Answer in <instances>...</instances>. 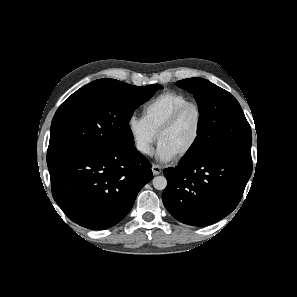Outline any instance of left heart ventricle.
<instances>
[{
	"mask_svg": "<svg viewBox=\"0 0 297 297\" xmlns=\"http://www.w3.org/2000/svg\"><path fill=\"white\" fill-rule=\"evenodd\" d=\"M196 129L197 115L193 109H190L172 129L161 135L159 141L166 144L178 155L190 144Z\"/></svg>",
	"mask_w": 297,
	"mask_h": 297,
	"instance_id": "b2bd125f",
	"label": "left heart ventricle"
}]
</instances>
